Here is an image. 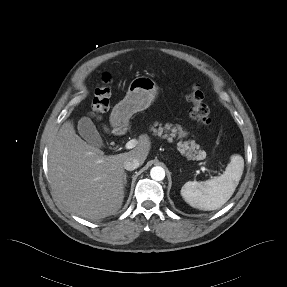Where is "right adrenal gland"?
<instances>
[{"instance_id": "right-adrenal-gland-1", "label": "right adrenal gland", "mask_w": 287, "mask_h": 287, "mask_svg": "<svg viewBox=\"0 0 287 287\" xmlns=\"http://www.w3.org/2000/svg\"><path fill=\"white\" fill-rule=\"evenodd\" d=\"M127 175L125 174V177H124V184L126 185V183H127Z\"/></svg>"}]
</instances>
